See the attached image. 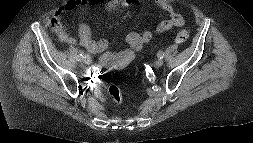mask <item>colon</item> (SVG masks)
Instances as JSON below:
<instances>
[{"instance_id":"colon-1","label":"colon","mask_w":253,"mask_h":143,"mask_svg":"<svg viewBox=\"0 0 253 143\" xmlns=\"http://www.w3.org/2000/svg\"><path fill=\"white\" fill-rule=\"evenodd\" d=\"M54 25L57 27L58 22L54 20ZM189 38V32L187 30H181L179 31L175 36V42L176 43H184ZM129 63L128 60L122 59V60H116L113 57H106L102 60L103 65H112L116 67H124ZM109 95L112 97V99L117 103L123 102V95L120 90V88L116 84H111L108 87Z\"/></svg>"}]
</instances>
